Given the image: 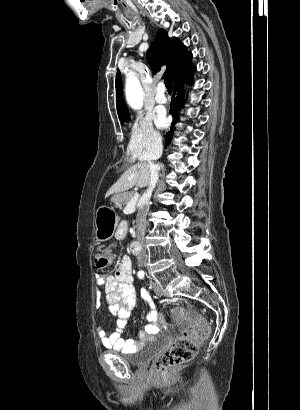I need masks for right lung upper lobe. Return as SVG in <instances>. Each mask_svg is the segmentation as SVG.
<instances>
[{"instance_id": "cb5924a9", "label": "right lung upper lobe", "mask_w": 300, "mask_h": 410, "mask_svg": "<svg viewBox=\"0 0 300 410\" xmlns=\"http://www.w3.org/2000/svg\"><path fill=\"white\" fill-rule=\"evenodd\" d=\"M146 58L155 72L160 71L161 66L167 65L164 76L172 80L191 63L192 53L188 52L177 38H170L167 31L160 29L147 51ZM115 83L119 119L122 121L129 120L128 109L123 101L122 81L119 71L116 74Z\"/></svg>"}]
</instances>
